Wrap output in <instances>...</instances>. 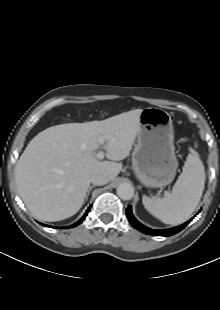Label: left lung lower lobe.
Masks as SVG:
<instances>
[{"mask_svg": "<svg viewBox=\"0 0 220 310\" xmlns=\"http://www.w3.org/2000/svg\"><path fill=\"white\" fill-rule=\"evenodd\" d=\"M126 216L129 218V222L139 231L147 234V235H155V236H172L178 232H180L182 229H184V227H186V225H188L190 223V221H192V219H190L189 221H187L186 223L174 227V228H170V229H164V230H152L151 228H148L146 226H144L143 224H141L140 222H138L136 220V218L133 216L132 214V210H131V206H128L127 210H126Z\"/></svg>", "mask_w": 220, "mask_h": 310, "instance_id": "obj_1", "label": "left lung lower lobe"}]
</instances>
